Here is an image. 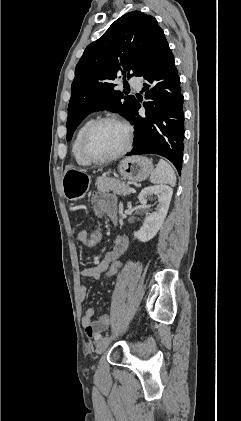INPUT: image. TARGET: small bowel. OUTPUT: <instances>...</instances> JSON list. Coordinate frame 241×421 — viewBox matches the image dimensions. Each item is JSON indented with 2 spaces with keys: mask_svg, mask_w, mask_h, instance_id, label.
<instances>
[{
  "mask_svg": "<svg viewBox=\"0 0 241 421\" xmlns=\"http://www.w3.org/2000/svg\"><path fill=\"white\" fill-rule=\"evenodd\" d=\"M92 204L94 212L97 216H108L114 218L116 216L117 202L116 198L112 194L95 193L92 196ZM88 236V231L82 229L77 234V239L81 243H85ZM128 238L124 235H120L115 240L112 248L107 252L104 259L99 260L92 267L83 269L82 275L84 277L98 278L108 266L115 260L121 258L128 247ZM87 295V287L81 285L79 288V296L81 300H84ZM95 312L92 307L86 309L82 317V325L85 329V334L92 338L99 335V333L105 329L109 323L108 316H102L97 321L93 322L92 318Z\"/></svg>",
  "mask_w": 241,
  "mask_h": 421,
  "instance_id": "1",
  "label": "small bowel"
}]
</instances>
